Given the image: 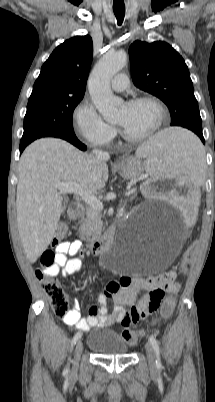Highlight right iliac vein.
<instances>
[{"instance_id": "right-iliac-vein-1", "label": "right iliac vein", "mask_w": 215, "mask_h": 402, "mask_svg": "<svg viewBox=\"0 0 215 402\" xmlns=\"http://www.w3.org/2000/svg\"><path fill=\"white\" fill-rule=\"evenodd\" d=\"M83 351V344L82 341L79 340L75 346L74 350V360H73V368H72V374H75L78 368V362L81 356V353Z\"/></svg>"}]
</instances>
